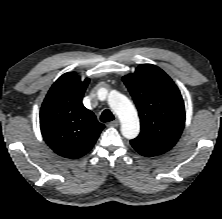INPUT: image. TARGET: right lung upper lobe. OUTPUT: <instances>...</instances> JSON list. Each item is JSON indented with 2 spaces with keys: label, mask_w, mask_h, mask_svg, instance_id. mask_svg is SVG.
<instances>
[{
  "label": "right lung upper lobe",
  "mask_w": 222,
  "mask_h": 219,
  "mask_svg": "<svg viewBox=\"0 0 222 219\" xmlns=\"http://www.w3.org/2000/svg\"><path fill=\"white\" fill-rule=\"evenodd\" d=\"M89 83L75 72L59 77L50 88L40 110V128L44 140L58 155L77 159L96 143L105 127L82 104Z\"/></svg>",
  "instance_id": "obj_1"
}]
</instances>
